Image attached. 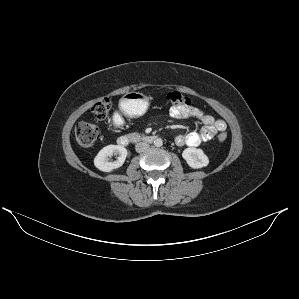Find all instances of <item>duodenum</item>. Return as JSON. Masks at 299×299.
<instances>
[{
    "label": "duodenum",
    "mask_w": 299,
    "mask_h": 299,
    "mask_svg": "<svg viewBox=\"0 0 299 299\" xmlns=\"http://www.w3.org/2000/svg\"><path fill=\"white\" fill-rule=\"evenodd\" d=\"M136 140H141L145 143H152L156 140V136L154 135H148V136H140L138 138H134L130 135H122L118 138V144L121 146H127L129 144H131L132 142L136 141Z\"/></svg>",
    "instance_id": "410a0bca"
}]
</instances>
